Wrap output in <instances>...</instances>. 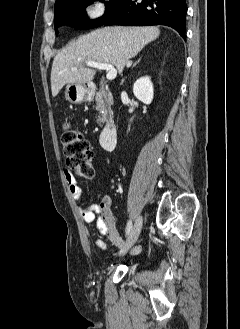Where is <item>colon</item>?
I'll return each instance as SVG.
<instances>
[{
    "label": "colon",
    "mask_w": 240,
    "mask_h": 329,
    "mask_svg": "<svg viewBox=\"0 0 240 329\" xmlns=\"http://www.w3.org/2000/svg\"><path fill=\"white\" fill-rule=\"evenodd\" d=\"M61 140L67 164L77 175L84 178H92L94 169L89 141L79 131L71 127L64 129Z\"/></svg>",
    "instance_id": "obj_1"
}]
</instances>
